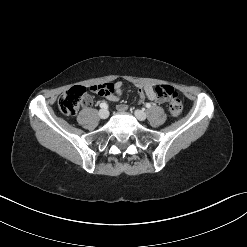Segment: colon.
I'll return each mask as SVG.
<instances>
[{
  "label": "colon",
  "instance_id": "1",
  "mask_svg": "<svg viewBox=\"0 0 247 247\" xmlns=\"http://www.w3.org/2000/svg\"><path fill=\"white\" fill-rule=\"evenodd\" d=\"M141 83L138 82L132 86L134 89L136 88L137 92H139L137 100L135 101L136 107L142 106V102L144 101V95L145 97L151 100H155L158 104L161 105L165 104L170 97V114L173 117H177L182 113L183 103L178 93L173 90L172 86H167L163 84L153 88L150 85H145L146 82L144 80ZM107 87L108 84L96 85L92 86L91 90L100 93ZM86 98V88L83 86H74L60 96L58 100V107L64 115L71 116L76 114L80 105L85 101Z\"/></svg>",
  "mask_w": 247,
  "mask_h": 247
}]
</instances>
